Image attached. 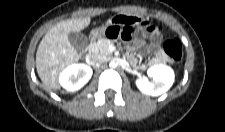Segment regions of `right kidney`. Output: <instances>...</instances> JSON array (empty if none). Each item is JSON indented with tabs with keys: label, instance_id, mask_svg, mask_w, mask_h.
<instances>
[{
	"label": "right kidney",
	"instance_id": "right-kidney-1",
	"mask_svg": "<svg viewBox=\"0 0 225 132\" xmlns=\"http://www.w3.org/2000/svg\"><path fill=\"white\" fill-rule=\"evenodd\" d=\"M93 71L86 64H74L64 69L60 76L59 82L67 91H78L92 77Z\"/></svg>",
	"mask_w": 225,
	"mask_h": 132
}]
</instances>
